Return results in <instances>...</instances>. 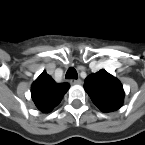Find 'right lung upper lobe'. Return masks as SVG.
Returning <instances> with one entry per match:
<instances>
[{"label": "right lung upper lobe", "mask_w": 145, "mask_h": 145, "mask_svg": "<svg viewBox=\"0 0 145 145\" xmlns=\"http://www.w3.org/2000/svg\"><path fill=\"white\" fill-rule=\"evenodd\" d=\"M68 89L67 83L57 84L46 71H43L31 86V96L36 107L48 113L61 102Z\"/></svg>", "instance_id": "obj_1"}]
</instances>
